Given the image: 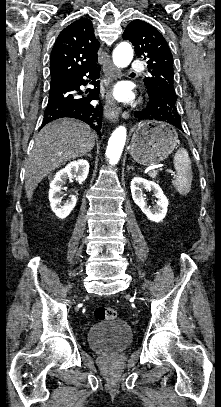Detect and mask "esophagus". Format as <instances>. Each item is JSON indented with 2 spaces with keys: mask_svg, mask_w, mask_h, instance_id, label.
<instances>
[{
  "mask_svg": "<svg viewBox=\"0 0 221 407\" xmlns=\"http://www.w3.org/2000/svg\"><path fill=\"white\" fill-rule=\"evenodd\" d=\"M103 72H104L105 77L108 80V83H106V86H108L109 82L112 79H117V78L121 77V71L119 69L115 68L111 62H107L103 66ZM102 99L104 101L105 117L112 122H117L121 109L117 105L115 100L113 99L109 90L106 89L102 93Z\"/></svg>",
  "mask_w": 221,
  "mask_h": 407,
  "instance_id": "1",
  "label": "esophagus"
}]
</instances>
